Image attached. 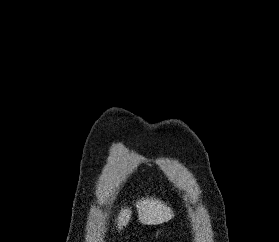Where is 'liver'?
<instances>
[{
    "instance_id": "liver-1",
    "label": "liver",
    "mask_w": 279,
    "mask_h": 242,
    "mask_svg": "<svg viewBox=\"0 0 279 242\" xmlns=\"http://www.w3.org/2000/svg\"><path fill=\"white\" fill-rule=\"evenodd\" d=\"M138 219L142 224L157 225L169 221L174 216L170 207L155 198H145L136 202ZM131 217V209L124 208L120 211L117 226L119 230L129 223Z\"/></svg>"
}]
</instances>
